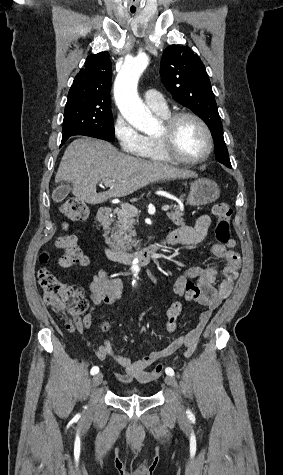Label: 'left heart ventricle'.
Returning <instances> with one entry per match:
<instances>
[{"instance_id":"b2bd125f","label":"left heart ventricle","mask_w":283,"mask_h":475,"mask_svg":"<svg viewBox=\"0 0 283 475\" xmlns=\"http://www.w3.org/2000/svg\"><path fill=\"white\" fill-rule=\"evenodd\" d=\"M163 129L157 137L163 134ZM206 146V135L200 124L191 118H183L175 128L173 143L166 144L165 149L171 157L192 158L201 155Z\"/></svg>"}]
</instances>
